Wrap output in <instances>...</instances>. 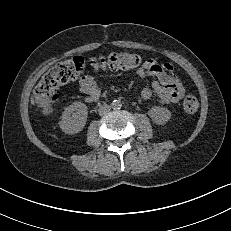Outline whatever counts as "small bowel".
<instances>
[{"label":"small bowel","instance_id":"obj_1","mask_svg":"<svg viewBox=\"0 0 231 231\" xmlns=\"http://www.w3.org/2000/svg\"><path fill=\"white\" fill-rule=\"evenodd\" d=\"M141 78H151V87L141 91V97L148 100L155 93L162 104L176 103L184 96V87L174 73L173 66L169 63H160L155 59L146 60L138 69ZM81 92L91 97L98 98L100 86L91 75H82L79 79Z\"/></svg>","mask_w":231,"mask_h":231}]
</instances>
